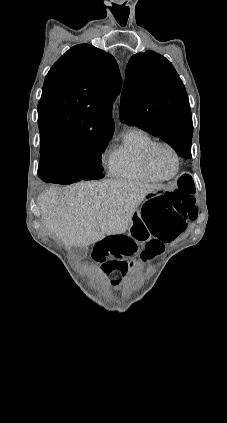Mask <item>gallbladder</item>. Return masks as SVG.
Here are the masks:
<instances>
[{
    "mask_svg": "<svg viewBox=\"0 0 227 423\" xmlns=\"http://www.w3.org/2000/svg\"><path fill=\"white\" fill-rule=\"evenodd\" d=\"M70 251L73 255H78L79 259H85V257H87L88 247H75V245H73Z\"/></svg>",
    "mask_w": 227,
    "mask_h": 423,
    "instance_id": "bac80fb5",
    "label": "gallbladder"
}]
</instances>
